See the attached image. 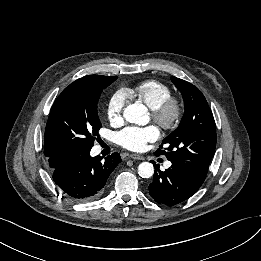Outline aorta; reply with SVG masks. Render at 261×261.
<instances>
[{
	"mask_svg": "<svg viewBox=\"0 0 261 261\" xmlns=\"http://www.w3.org/2000/svg\"><path fill=\"white\" fill-rule=\"evenodd\" d=\"M126 121L138 125H146L149 122L147 108L140 103L128 105L123 112ZM138 174L142 178H150L154 174V166L149 162H142L138 166Z\"/></svg>",
	"mask_w": 261,
	"mask_h": 261,
	"instance_id": "obj_1",
	"label": "aorta"
}]
</instances>
